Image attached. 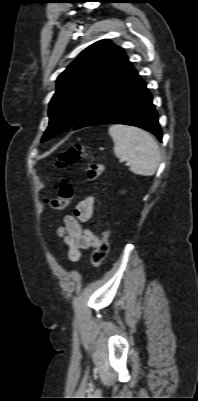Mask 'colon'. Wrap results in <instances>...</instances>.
I'll list each match as a JSON object with an SVG mask.
<instances>
[{
	"label": "colon",
	"instance_id": "5ec220e1",
	"mask_svg": "<svg viewBox=\"0 0 198 401\" xmlns=\"http://www.w3.org/2000/svg\"><path fill=\"white\" fill-rule=\"evenodd\" d=\"M87 155L86 149L81 144H75L63 151L57 159L58 168H68ZM103 166L100 162L91 158V162L87 168V176L90 180L97 179L102 173ZM74 196V189L70 183L63 181L57 198L49 199L47 202L52 209L61 210L68 206ZM109 232L102 231L99 243L92 254V263L99 267L102 261L106 258L109 250Z\"/></svg>",
	"mask_w": 198,
	"mask_h": 401
}]
</instances>
